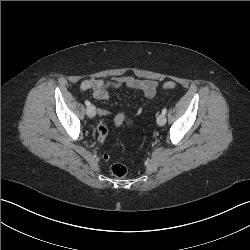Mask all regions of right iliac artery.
I'll return each mask as SVG.
<instances>
[{"label": "right iliac artery", "instance_id": "82829eb1", "mask_svg": "<svg viewBox=\"0 0 250 250\" xmlns=\"http://www.w3.org/2000/svg\"><path fill=\"white\" fill-rule=\"evenodd\" d=\"M85 105H86V106H90L91 103H90L88 100H86V101H85Z\"/></svg>", "mask_w": 250, "mask_h": 250}]
</instances>
